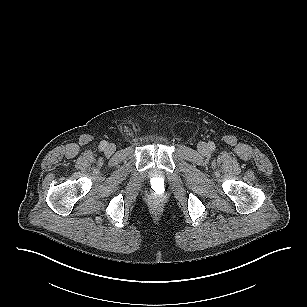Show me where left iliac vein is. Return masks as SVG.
Instances as JSON below:
<instances>
[{
  "mask_svg": "<svg viewBox=\"0 0 307 307\" xmlns=\"http://www.w3.org/2000/svg\"><path fill=\"white\" fill-rule=\"evenodd\" d=\"M198 151L202 154H206L208 152L207 144L204 142L199 143L198 145Z\"/></svg>",
  "mask_w": 307,
  "mask_h": 307,
  "instance_id": "1",
  "label": "left iliac vein"
}]
</instances>
